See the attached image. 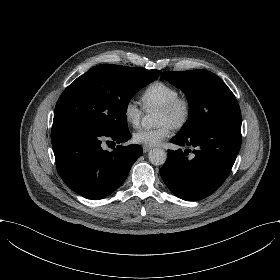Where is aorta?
I'll use <instances>...</instances> for the list:
<instances>
[{"instance_id":"aorta-1","label":"aorta","mask_w":280,"mask_h":280,"mask_svg":"<svg viewBox=\"0 0 280 280\" xmlns=\"http://www.w3.org/2000/svg\"><path fill=\"white\" fill-rule=\"evenodd\" d=\"M157 117L155 113H150L145 115L141 119V125L145 129H151L157 124ZM149 161L155 165V166H160L163 165L167 159V154L165 150L160 149V148H154L152 149L149 154Z\"/></svg>"}]
</instances>
